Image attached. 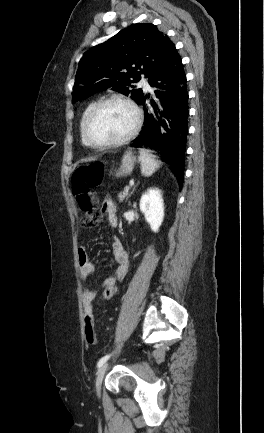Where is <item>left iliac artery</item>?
<instances>
[{"instance_id": "obj_1", "label": "left iliac artery", "mask_w": 264, "mask_h": 433, "mask_svg": "<svg viewBox=\"0 0 264 433\" xmlns=\"http://www.w3.org/2000/svg\"><path fill=\"white\" fill-rule=\"evenodd\" d=\"M111 355L110 354H108V355H105L104 357H102L100 360H99V362H98V364H97V367L98 368H100L108 359H109V357H110Z\"/></svg>"}]
</instances>
